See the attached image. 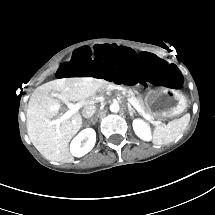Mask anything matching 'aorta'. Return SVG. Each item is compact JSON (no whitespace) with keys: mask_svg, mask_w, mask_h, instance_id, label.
Returning a JSON list of instances; mask_svg holds the SVG:
<instances>
[{"mask_svg":"<svg viewBox=\"0 0 215 215\" xmlns=\"http://www.w3.org/2000/svg\"><path fill=\"white\" fill-rule=\"evenodd\" d=\"M120 110V106L118 103H112L110 105V111L113 113H117Z\"/></svg>","mask_w":215,"mask_h":215,"instance_id":"762f6f07","label":"aorta"}]
</instances>
